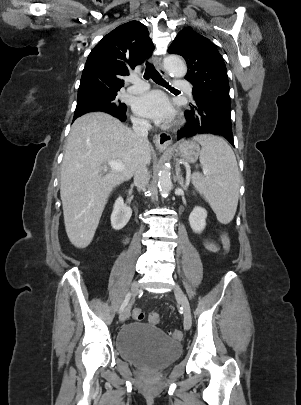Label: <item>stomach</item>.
Instances as JSON below:
<instances>
[{
    "mask_svg": "<svg viewBox=\"0 0 301 405\" xmlns=\"http://www.w3.org/2000/svg\"><path fill=\"white\" fill-rule=\"evenodd\" d=\"M172 149L175 155L190 163L196 162L201 153L199 145L194 141H181Z\"/></svg>",
    "mask_w": 301,
    "mask_h": 405,
    "instance_id": "0dacf381",
    "label": "stomach"
}]
</instances>
